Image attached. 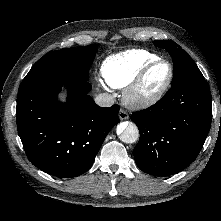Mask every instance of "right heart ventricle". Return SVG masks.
<instances>
[{
    "label": "right heart ventricle",
    "mask_w": 221,
    "mask_h": 221,
    "mask_svg": "<svg viewBox=\"0 0 221 221\" xmlns=\"http://www.w3.org/2000/svg\"><path fill=\"white\" fill-rule=\"evenodd\" d=\"M159 56L143 49L128 50L107 57L101 65L103 81L115 89L127 87L140 70Z\"/></svg>",
    "instance_id": "right-heart-ventricle-1"
}]
</instances>
